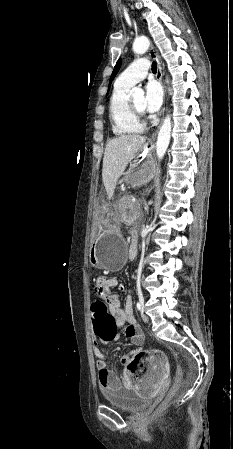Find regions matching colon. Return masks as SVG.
<instances>
[{
    "label": "colon",
    "mask_w": 233,
    "mask_h": 449,
    "mask_svg": "<svg viewBox=\"0 0 233 449\" xmlns=\"http://www.w3.org/2000/svg\"><path fill=\"white\" fill-rule=\"evenodd\" d=\"M89 322L91 323L93 334H97L100 343L115 342V338L118 337V330L115 326V319H111L105 301H92ZM122 361L125 365L126 375H140L143 369L147 368L148 363H150L149 356L144 351L125 356ZM182 381L183 375L181 372H178L175 382L170 389V397L175 396L179 392Z\"/></svg>",
    "instance_id": "colon-1"
}]
</instances>
